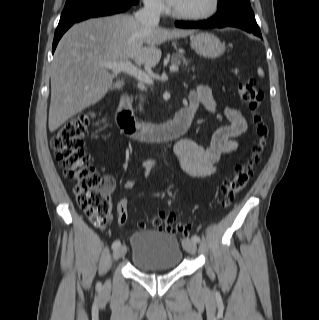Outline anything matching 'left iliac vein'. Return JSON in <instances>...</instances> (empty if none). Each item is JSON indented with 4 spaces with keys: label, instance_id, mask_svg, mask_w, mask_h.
Returning a JSON list of instances; mask_svg holds the SVG:
<instances>
[{
    "label": "left iliac vein",
    "instance_id": "4c4485c4",
    "mask_svg": "<svg viewBox=\"0 0 319 320\" xmlns=\"http://www.w3.org/2000/svg\"><path fill=\"white\" fill-rule=\"evenodd\" d=\"M183 246L188 253L190 254L196 253V249H197L196 242L187 238L183 241Z\"/></svg>",
    "mask_w": 319,
    "mask_h": 320
}]
</instances>
